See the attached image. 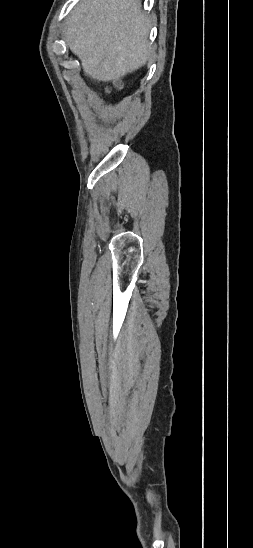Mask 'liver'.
Returning a JSON list of instances; mask_svg holds the SVG:
<instances>
[{"label":"liver","instance_id":"1","mask_svg":"<svg viewBox=\"0 0 253 548\" xmlns=\"http://www.w3.org/2000/svg\"><path fill=\"white\" fill-rule=\"evenodd\" d=\"M149 31L139 0H82L68 18L64 37L84 72L107 82L146 64Z\"/></svg>","mask_w":253,"mask_h":548}]
</instances>
